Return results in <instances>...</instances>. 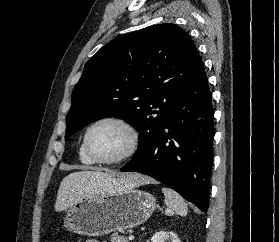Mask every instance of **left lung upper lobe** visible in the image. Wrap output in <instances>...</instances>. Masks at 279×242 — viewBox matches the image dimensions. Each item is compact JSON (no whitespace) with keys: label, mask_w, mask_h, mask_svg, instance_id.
Returning a JSON list of instances; mask_svg holds the SVG:
<instances>
[{"label":"left lung upper lobe","mask_w":279,"mask_h":242,"mask_svg":"<svg viewBox=\"0 0 279 242\" xmlns=\"http://www.w3.org/2000/svg\"><path fill=\"white\" fill-rule=\"evenodd\" d=\"M198 56L188 33L171 23L108 43L85 64L72 93L65 136L96 120L118 117L140 133L133 158L145 153L166 123Z\"/></svg>","instance_id":"left-lung-upper-lobe-1"}]
</instances>
